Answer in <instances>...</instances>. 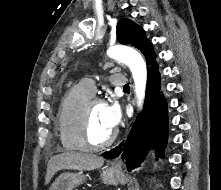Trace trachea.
Returning a JSON list of instances; mask_svg holds the SVG:
<instances>
[{"mask_svg": "<svg viewBox=\"0 0 221 190\" xmlns=\"http://www.w3.org/2000/svg\"><path fill=\"white\" fill-rule=\"evenodd\" d=\"M123 89L124 90H130V86L128 84H126Z\"/></svg>", "mask_w": 221, "mask_h": 190, "instance_id": "trachea-1", "label": "trachea"}]
</instances>
